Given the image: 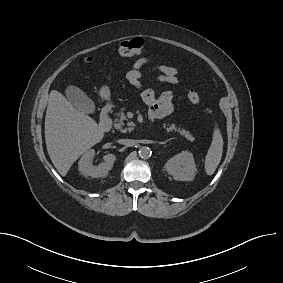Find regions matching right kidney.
<instances>
[{"label": "right kidney", "instance_id": "right-kidney-1", "mask_svg": "<svg viewBox=\"0 0 283 283\" xmlns=\"http://www.w3.org/2000/svg\"><path fill=\"white\" fill-rule=\"evenodd\" d=\"M95 151L93 149L86 151L81 159L79 160V172L85 177L100 178L105 177L109 170L112 169L113 164L116 160L115 155L107 154L105 155L104 162L98 166L91 165L90 161L93 159Z\"/></svg>", "mask_w": 283, "mask_h": 283}]
</instances>
